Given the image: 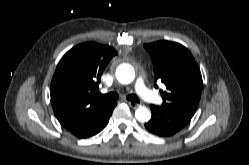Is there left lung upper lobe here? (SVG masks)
<instances>
[{"instance_id": "left-lung-upper-lobe-1", "label": "left lung upper lobe", "mask_w": 249, "mask_h": 165, "mask_svg": "<svg viewBox=\"0 0 249 165\" xmlns=\"http://www.w3.org/2000/svg\"><path fill=\"white\" fill-rule=\"evenodd\" d=\"M144 47L153 62L155 81H161L166 87L160 91L161 107L193 117L203 82L192 54L181 44L171 41H157Z\"/></svg>"}]
</instances>
